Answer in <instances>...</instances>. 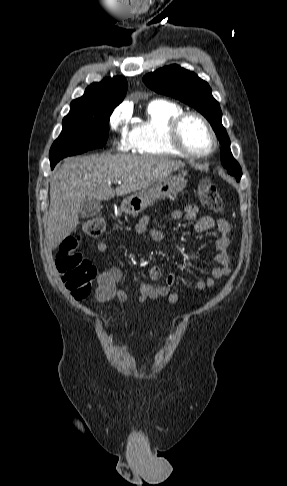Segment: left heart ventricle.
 <instances>
[{"instance_id":"b2bd125f","label":"left heart ventricle","mask_w":287,"mask_h":486,"mask_svg":"<svg viewBox=\"0 0 287 486\" xmlns=\"http://www.w3.org/2000/svg\"><path fill=\"white\" fill-rule=\"evenodd\" d=\"M183 144L193 152H206L211 147V138L203 124L196 118L185 121L181 130Z\"/></svg>"}]
</instances>
